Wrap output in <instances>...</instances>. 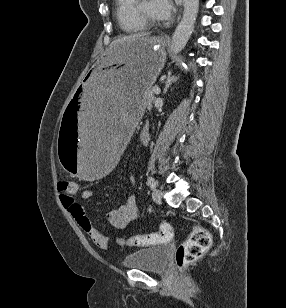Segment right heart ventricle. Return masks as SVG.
Masks as SVG:
<instances>
[{"label": "right heart ventricle", "mask_w": 286, "mask_h": 308, "mask_svg": "<svg viewBox=\"0 0 286 308\" xmlns=\"http://www.w3.org/2000/svg\"><path fill=\"white\" fill-rule=\"evenodd\" d=\"M137 0H115V16L119 27L125 33H139L147 27L137 18L134 6Z\"/></svg>", "instance_id": "1"}]
</instances>
